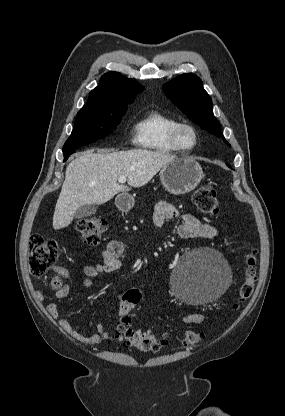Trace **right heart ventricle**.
Here are the masks:
<instances>
[{
	"label": "right heart ventricle",
	"instance_id": "e07e8e85",
	"mask_svg": "<svg viewBox=\"0 0 285 416\" xmlns=\"http://www.w3.org/2000/svg\"><path fill=\"white\" fill-rule=\"evenodd\" d=\"M179 123L174 116L159 109L147 111L135 125V142L155 153H176L171 132Z\"/></svg>",
	"mask_w": 285,
	"mask_h": 416
}]
</instances>
